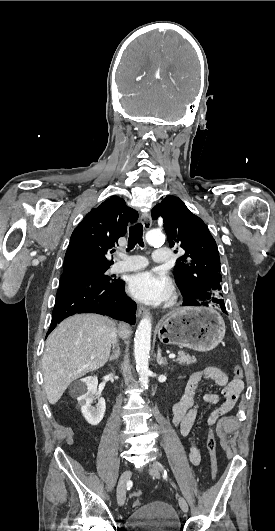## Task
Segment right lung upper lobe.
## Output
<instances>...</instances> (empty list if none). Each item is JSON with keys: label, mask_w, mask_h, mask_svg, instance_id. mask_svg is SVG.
<instances>
[{"label": "right lung upper lobe", "mask_w": 275, "mask_h": 531, "mask_svg": "<svg viewBox=\"0 0 275 531\" xmlns=\"http://www.w3.org/2000/svg\"><path fill=\"white\" fill-rule=\"evenodd\" d=\"M137 219V211L118 196L92 209L71 235L63 271L83 265L110 266L113 262L105 256L108 249L117 244L126 234L127 226Z\"/></svg>", "instance_id": "cb5924a9"}]
</instances>
